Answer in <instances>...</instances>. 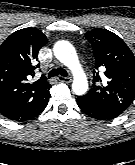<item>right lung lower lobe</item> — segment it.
<instances>
[{
	"label": "right lung lower lobe",
	"instance_id": "obj_1",
	"mask_svg": "<svg viewBox=\"0 0 135 165\" xmlns=\"http://www.w3.org/2000/svg\"><path fill=\"white\" fill-rule=\"evenodd\" d=\"M50 96V95H49ZM49 96L36 102H20L0 110L6 118L25 121L38 116L47 106Z\"/></svg>",
	"mask_w": 135,
	"mask_h": 165
}]
</instances>
